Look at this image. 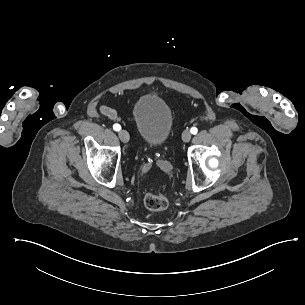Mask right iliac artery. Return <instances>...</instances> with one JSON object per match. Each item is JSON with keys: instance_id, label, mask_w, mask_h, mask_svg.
Segmentation results:
<instances>
[{"instance_id": "right-iliac-artery-1", "label": "right iliac artery", "mask_w": 305, "mask_h": 305, "mask_svg": "<svg viewBox=\"0 0 305 305\" xmlns=\"http://www.w3.org/2000/svg\"><path fill=\"white\" fill-rule=\"evenodd\" d=\"M113 129H114L115 131H119V130L121 129V126H120L119 124H114V125H113Z\"/></svg>"}]
</instances>
